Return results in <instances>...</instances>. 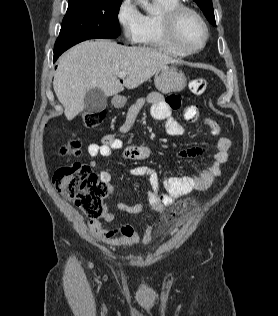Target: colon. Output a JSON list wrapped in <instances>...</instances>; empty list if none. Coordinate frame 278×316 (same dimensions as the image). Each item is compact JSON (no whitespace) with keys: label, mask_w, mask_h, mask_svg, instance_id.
<instances>
[{"label":"colon","mask_w":278,"mask_h":316,"mask_svg":"<svg viewBox=\"0 0 278 316\" xmlns=\"http://www.w3.org/2000/svg\"><path fill=\"white\" fill-rule=\"evenodd\" d=\"M207 88L204 78L190 81L189 89L195 95H202ZM105 118L104 112H85L83 124L88 128L99 126ZM63 156L78 157L81 155V142L72 136L60 149ZM53 185L63 196L73 200L90 219L101 217L105 211L104 199L108 187L91 171L90 167L78 162L58 168L52 178ZM177 221L178 216H174Z\"/></svg>","instance_id":"1"}]
</instances>
